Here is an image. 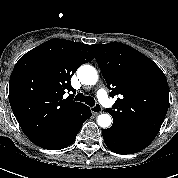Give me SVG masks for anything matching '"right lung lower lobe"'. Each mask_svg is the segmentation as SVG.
<instances>
[{
    "label": "right lung lower lobe",
    "mask_w": 178,
    "mask_h": 178,
    "mask_svg": "<svg viewBox=\"0 0 178 178\" xmlns=\"http://www.w3.org/2000/svg\"><path fill=\"white\" fill-rule=\"evenodd\" d=\"M91 116L90 108L85 109L84 114L79 122V124L73 129V131L61 138L48 140L42 143H37L36 145L50 150H59L69 146L76 138L77 133L81 129L85 120Z\"/></svg>",
    "instance_id": "98d812e1"
}]
</instances>
